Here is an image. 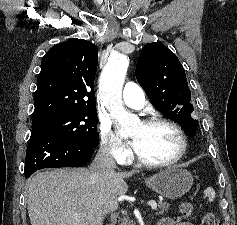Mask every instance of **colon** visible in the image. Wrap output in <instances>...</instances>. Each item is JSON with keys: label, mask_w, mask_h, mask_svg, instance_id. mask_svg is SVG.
<instances>
[{"label": "colon", "mask_w": 237, "mask_h": 225, "mask_svg": "<svg viewBox=\"0 0 237 225\" xmlns=\"http://www.w3.org/2000/svg\"><path fill=\"white\" fill-rule=\"evenodd\" d=\"M180 211L184 218H191L196 211V206L191 202H185L181 205ZM202 225H220V223L214 215L207 214L203 218Z\"/></svg>", "instance_id": "colon-1"}]
</instances>
